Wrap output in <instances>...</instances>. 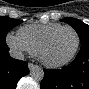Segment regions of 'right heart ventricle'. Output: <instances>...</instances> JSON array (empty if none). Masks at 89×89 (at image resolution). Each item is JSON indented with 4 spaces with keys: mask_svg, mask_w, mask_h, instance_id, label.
I'll return each mask as SVG.
<instances>
[{
    "mask_svg": "<svg viewBox=\"0 0 89 89\" xmlns=\"http://www.w3.org/2000/svg\"><path fill=\"white\" fill-rule=\"evenodd\" d=\"M61 26L58 23L28 24L18 30V36L26 43L30 53L37 54L46 36Z\"/></svg>",
    "mask_w": 89,
    "mask_h": 89,
    "instance_id": "obj_1",
    "label": "right heart ventricle"
}]
</instances>
